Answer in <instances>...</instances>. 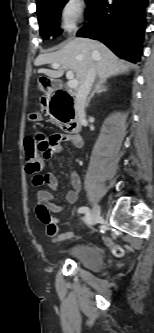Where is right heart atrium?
Wrapping results in <instances>:
<instances>
[{
	"mask_svg": "<svg viewBox=\"0 0 154 333\" xmlns=\"http://www.w3.org/2000/svg\"><path fill=\"white\" fill-rule=\"evenodd\" d=\"M86 24L81 0H65L59 10L60 28L68 34L79 31Z\"/></svg>",
	"mask_w": 154,
	"mask_h": 333,
	"instance_id": "d8ad5b80",
	"label": "right heart atrium"
}]
</instances>
